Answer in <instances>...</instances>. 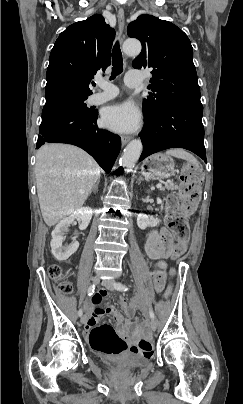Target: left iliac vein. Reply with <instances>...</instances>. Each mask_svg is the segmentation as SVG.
<instances>
[{
	"mask_svg": "<svg viewBox=\"0 0 243 404\" xmlns=\"http://www.w3.org/2000/svg\"><path fill=\"white\" fill-rule=\"evenodd\" d=\"M102 285L106 287L108 290L111 291L115 290V281L113 280H103ZM149 326L152 331H155L157 328L156 322L153 319L149 321Z\"/></svg>",
	"mask_w": 243,
	"mask_h": 404,
	"instance_id": "4c4485c4",
	"label": "left iliac vein"
}]
</instances>
